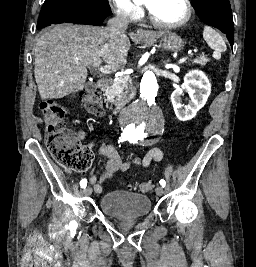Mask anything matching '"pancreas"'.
<instances>
[{
  "label": "pancreas",
  "mask_w": 256,
  "mask_h": 267,
  "mask_svg": "<svg viewBox=\"0 0 256 267\" xmlns=\"http://www.w3.org/2000/svg\"><path fill=\"white\" fill-rule=\"evenodd\" d=\"M207 62H210V60L206 56H198L196 60H193V64H200V66H205ZM129 82L127 76H121L116 82L110 80L109 98H105L104 102H113L116 106H125L129 102L130 96H136V88H130Z\"/></svg>",
  "instance_id": "cf45deb5"
}]
</instances>
